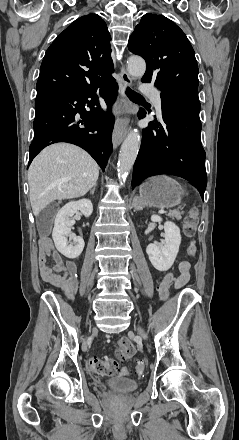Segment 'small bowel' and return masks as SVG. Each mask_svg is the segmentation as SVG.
<instances>
[{
    "instance_id": "c3829d8e",
    "label": "small bowel",
    "mask_w": 239,
    "mask_h": 440,
    "mask_svg": "<svg viewBox=\"0 0 239 440\" xmlns=\"http://www.w3.org/2000/svg\"><path fill=\"white\" fill-rule=\"evenodd\" d=\"M52 257L53 266L48 264V258ZM40 272L43 280L59 289L69 298H73L77 290V267L76 264L67 260L63 261L61 254L49 243H43L39 254ZM179 275L175 281V286H184L190 278V264L183 261L179 264Z\"/></svg>"
}]
</instances>
